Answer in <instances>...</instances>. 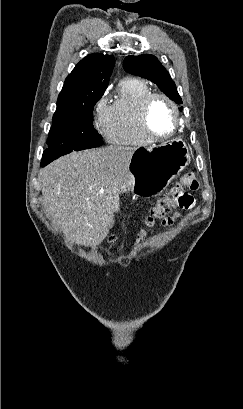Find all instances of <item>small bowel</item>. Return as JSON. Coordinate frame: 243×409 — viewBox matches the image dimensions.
Listing matches in <instances>:
<instances>
[{
  "instance_id": "obj_1",
  "label": "small bowel",
  "mask_w": 243,
  "mask_h": 409,
  "mask_svg": "<svg viewBox=\"0 0 243 409\" xmlns=\"http://www.w3.org/2000/svg\"><path fill=\"white\" fill-rule=\"evenodd\" d=\"M189 197H190V200H191L190 205H188L187 207H183V208H190V207L192 206V204H193V197H192V196H189ZM179 217H180V214H179V213H175L172 217H170V218L164 220V221H163V224H165V225H171V224H172L175 220H177Z\"/></svg>"
}]
</instances>
